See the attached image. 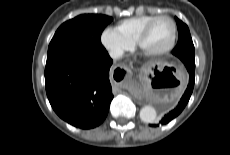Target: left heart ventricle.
<instances>
[{"mask_svg":"<svg viewBox=\"0 0 230 155\" xmlns=\"http://www.w3.org/2000/svg\"><path fill=\"white\" fill-rule=\"evenodd\" d=\"M172 25L166 19L156 21L144 41V49L147 51H160L166 48L172 39Z\"/></svg>","mask_w":230,"mask_h":155,"instance_id":"left-heart-ventricle-1","label":"left heart ventricle"}]
</instances>
